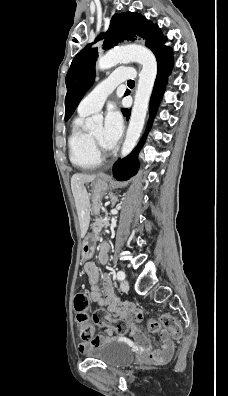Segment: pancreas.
<instances>
[{
  "mask_svg": "<svg viewBox=\"0 0 228 396\" xmlns=\"http://www.w3.org/2000/svg\"><path fill=\"white\" fill-rule=\"evenodd\" d=\"M106 213L110 212L109 208L105 209ZM108 219L109 216L108 215H103V216H99V217H95V223H94V227H93V231L95 232L96 236L98 237L97 239L99 240V232H103V229L105 226H108ZM101 234V233H100Z\"/></svg>",
  "mask_w": 228,
  "mask_h": 396,
  "instance_id": "obj_1",
  "label": "pancreas"
}]
</instances>
